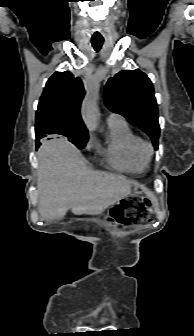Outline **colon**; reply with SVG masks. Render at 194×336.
<instances>
[{"mask_svg":"<svg viewBox=\"0 0 194 336\" xmlns=\"http://www.w3.org/2000/svg\"><path fill=\"white\" fill-rule=\"evenodd\" d=\"M148 204L146 199H126L114 209L112 218L122 224L137 221L138 213L145 210Z\"/></svg>","mask_w":194,"mask_h":336,"instance_id":"1","label":"colon"}]
</instances>
